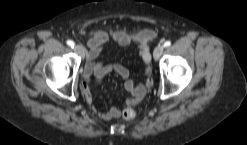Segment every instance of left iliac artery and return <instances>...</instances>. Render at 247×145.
Returning a JSON list of instances; mask_svg holds the SVG:
<instances>
[{
    "mask_svg": "<svg viewBox=\"0 0 247 145\" xmlns=\"http://www.w3.org/2000/svg\"><path fill=\"white\" fill-rule=\"evenodd\" d=\"M171 45V41H166L165 43H164V47H169Z\"/></svg>",
    "mask_w": 247,
    "mask_h": 145,
    "instance_id": "left-iliac-artery-1",
    "label": "left iliac artery"
}]
</instances>
